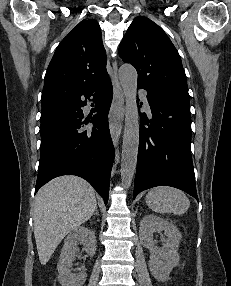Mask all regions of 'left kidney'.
<instances>
[{"label": "left kidney", "instance_id": "5707ae66", "mask_svg": "<svg viewBox=\"0 0 231 286\" xmlns=\"http://www.w3.org/2000/svg\"><path fill=\"white\" fill-rule=\"evenodd\" d=\"M164 231L167 238L161 248L155 246L153 233ZM139 235L144 247L151 255L148 266L152 276L158 281H166L170 272L179 263L178 248L181 233L172 223L154 214L146 215L140 222Z\"/></svg>", "mask_w": 231, "mask_h": 286}]
</instances>
